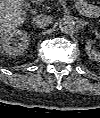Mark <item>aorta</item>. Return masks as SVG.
<instances>
[{"instance_id":"1","label":"aorta","mask_w":100,"mask_h":118,"mask_svg":"<svg viewBox=\"0 0 100 118\" xmlns=\"http://www.w3.org/2000/svg\"><path fill=\"white\" fill-rule=\"evenodd\" d=\"M75 28V21L71 16H65L59 21V29L63 33H70Z\"/></svg>"}]
</instances>
